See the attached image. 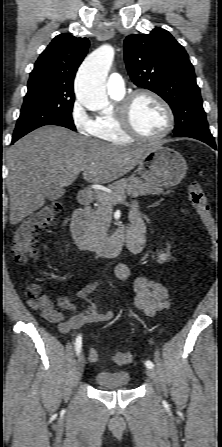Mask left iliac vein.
I'll return each instance as SVG.
<instances>
[{"label":"left iliac vein","mask_w":222,"mask_h":447,"mask_svg":"<svg viewBox=\"0 0 222 447\" xmlns=\"http://www.w3.org/2000/svg\"><path fill=\"white\" fill-rule=\"evenodd\" d=\"M145 373L147 376L153 381V383L156 385L157 390L159 391V381L156 372L151 368H146Z\"/></svg>","instance_id":"4c4485c4"}]
</instances>
